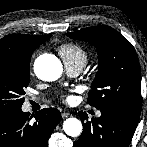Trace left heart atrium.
<instances>
[{
	"label": "left heart atrium",
	"instance_id": "left-heart-atrium-1",
	"mask_svg": "<svg viewBox=\"0 0 147 147\" xmlns=\"http://www.w3.org/2000/svg\"><path fill=\"white\" fill-rule=\"evenodd\" d=\"M65 98H66L67 101L71 100V96H65Z\"/></svg>",
	"mask_w": 147,
	"mask_h": 147
}]
</instances>
